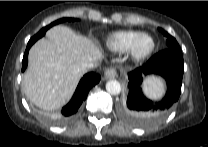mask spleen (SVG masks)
Listing matches in <instances>:
<instances>
[{
  "label": "spleen",
  "instance_id": "spleen-1",
  "mask_svg": "<svg viewBox=\"0 0 208 147\" xmlns=\"http://www.w3.org/2000/svg\"><path fill=\"white\" fill-rule=\"evenodd\" d=\"M142 87L146 96L155 100L161 98L165 91L164 83L155 77L145 79Z\"/></svg>",
  "mask_w": 208,
  "mask_h": 147
}]
</instances>
